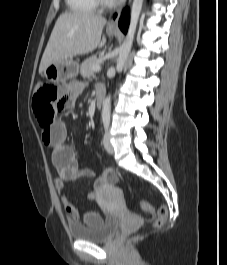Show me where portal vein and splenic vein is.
Instances as JSON below:
<instances>
[{
  "instance_id": "obj_1",
  "label": "portal vein and splenic vein",
  "mask_w": 227,
  "mask_h": 265,
  "mask_svg": "<svg viewBox=\"0 0 227 265\" xmlns=\"http://www.w3.org/2000/svg\"><path fill=\"white\" fill-rule=\"evenodd\" d=\"M92 70H93L94 72L100 71V70H101V66H99V65H95V66L92 67Z\"/></svg>"
}]
</instances>
